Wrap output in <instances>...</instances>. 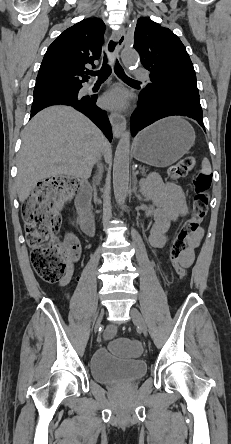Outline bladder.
Listing matches in <instances>:
<instances>
[{"instance_id": "obj_1", "label": "bladder", "mask_w": 231, "mask_h": 444, "mask_svg": "<svg viewBox=\"0 0 231 444\" xmlns=\"http://www.w3.org/2000/svg\"><path fill=\"white\" fill-rule=\"evenodd\" d=\"M147 372V365L139 359H120L111 354L108 349L96 350L90 359L92 377L103 384L132 382Z\"/></svg>"}]
</instances>
